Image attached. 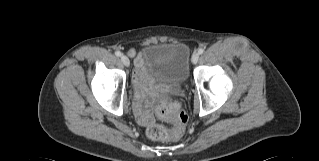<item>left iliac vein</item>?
Wrapping results in <instances>:
<instances>
[{
    "label": "left iliac vein",
    "mask_w": 319,
    "mask_h": 161,
    "mask_svg": "<svg viewBox=\"0 0 319 161\" xmlns=\"http://www.w3.org/2000/svg\"><path fill=\"white\" fill-rule=\"evenodd\" d=\"M198 59H199V54L198 53H194L193 55H192V59H191V61H192V63H197L198 62Z\"/></svg>",
    "instance_id": "obj_1"
}]
</instances>
